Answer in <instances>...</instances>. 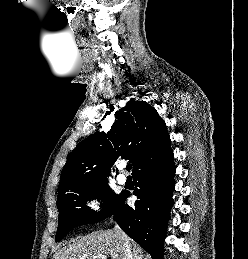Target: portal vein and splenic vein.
I'll list each match as a JSON object with an SVG mask.
<instances>
[{
  "mask_svg": "<svg viewBox=\"0 0 248 259\" xmlns=\"http://www.w3.org/2000/svg\"><path fill=\"white\" fill-rule=\"evenodd\" d=\"M97 258L98 259H107V257L105 255H99Z\"/></svg>",
  "mask_w": 248,
  "mask_h": 259,
  "instance_id": "18ae733b",
  "label": "portal vein and splenic vein"
}]
</instances>
